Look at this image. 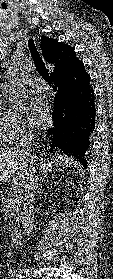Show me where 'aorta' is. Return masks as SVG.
Wrapping results in <instances>:
<instances>
[{
    "mask_svg": "<svg viewBox=\"0 0 113 279\" xmlns=\"http://www.w3.org/2000/svg\"><path fill=\"white\" fill-rule=\"evenodd\" d=\"M19 62L14 63V65H12L10 67L11 70L17 68V66H19ZM23 106H24V102L23 99H21L20 97H12L11 99H9L8 102V110L11 113L14 114H19L21 113V111L23 110Z\"/></svg>",
    "mask_w": 113,
    "mask_h": 279,
    "instance_id": "1",
    "label": "aorta"
}]
</instances>
